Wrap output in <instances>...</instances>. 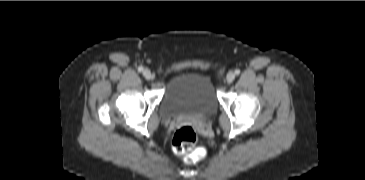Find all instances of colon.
<instances>
[{
	"label": "colon",
	"mask_w": 365,
	"mask_h": 180,
	"mask_svg": "<svg viewBox=\"0 0 365 180\" xmlns=\"http://www.w3.org/2000/svg\"><path fill=\"white\" fill-rule=\"evenodd\" d=\"M197 134L188 125L180 127L173 135L172 146L177 155L188 164H195L205 157V150L196 147Z\"/></svg>",
	"instance_id": "colon-1"
}]
</instances>
